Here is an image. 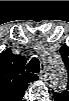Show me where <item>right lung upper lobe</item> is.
Segmentation results:
<instances>
[{
    "mask_svg": "<svg viewBox=\"0 0 69 101\" xmlns=\"http://www.w3.org/2000/svg\"><path fill=\"white\" fill-rule=\"evenodd\" d=\"M1 62V93L12 100L23 97L28 83L38 80L33 73H26L24 66L26 59L20 55H14L7 49Z\"/></svg>",
    "mask_w": 69,
    "mask_h": 101,
    "instance_id": "obj_1",
    "label": "right lung upper lobe"
}]
</instances>
